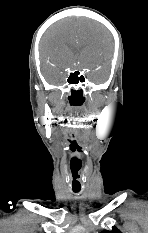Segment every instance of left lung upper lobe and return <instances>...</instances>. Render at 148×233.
Here are the masks:
<instances>
[{"label":"left lung upper lobe","instance_id":"5c2ea615","mask_svg":"<svg viewBox=\"0 0 148 233\" xmlns=\"http://www.w3.org/2000/svg\"><path fill=\"white\" fill-rule=\"evenodd\" d=\"M101 233H121L120 230H118L116 227H112V230L109 231V230H104L102 231Z\"/></svg>","mask_w":148,"mask_h":233}]
</instances>
